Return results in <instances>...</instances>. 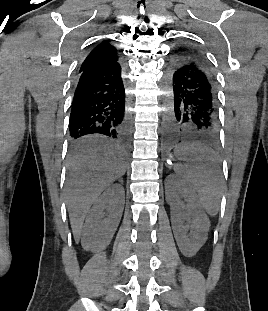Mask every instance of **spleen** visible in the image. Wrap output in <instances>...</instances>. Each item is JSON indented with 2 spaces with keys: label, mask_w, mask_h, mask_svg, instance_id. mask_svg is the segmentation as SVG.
Returning a JSON list of instances; mask_svg holds the SVG:
<instances>
[{
  "label": "spleen",
  "mask_w": 268,
  "mask_h": 311,
  "mask_svg": "<svg viewBox=\"0 0 268 311\" xmlns=\"http://www.w3.org/2000/svg\"><path fill=\"white\" fill-rule=\"evenodd\" d=\"M178 160L190 164H176L175 172L191 182L198 193L202 208L211 216L219 210L222 169L215 148H205L204 144H191L175 149Z\"/></svg>",
  "instance_id": "obj_1"
}]
</instances>
